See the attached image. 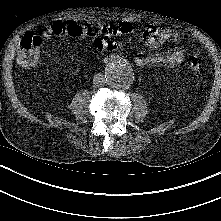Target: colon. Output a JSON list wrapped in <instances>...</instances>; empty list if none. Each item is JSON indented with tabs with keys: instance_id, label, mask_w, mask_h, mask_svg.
Listing matches in <instances>:
<instances>
[{
	"instance_id": "1",
	"label": "colon",
	"mask_w": 221,
	"mask_h": 221,
	"mask_svg": "<svg viewBox=\"0 0 221 221\" xmlns=\"http://www.w3.org/2000/svg\"><path fill=\"white\" fill-rule=\"evenodd\" d=\"M41 44L42 41L39 36L26 34L19 45L17 63L24 68L36 66L40 58ZM188 69L192 75L199 80L201 65L196 57H192L189 60Z\"/></svg>"
}]
</instances>
